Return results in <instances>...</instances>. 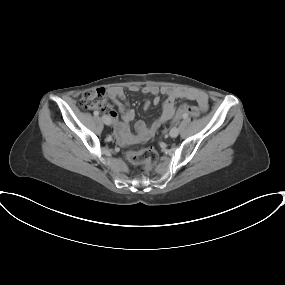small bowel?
<instances>
[{"instance_id":"1","label":"small bowel","mask_w":285,"mask_h":285,"mask_svg":"<svg viewBox=\"0 0 285 285\" xmlns=\"http://www.w3.org/2000/svg\"><path fill=\"white\" fill-rule=\"evenodd\" d=\"M138 89L139 88L137 86L130 87V91L132 92H137ZM142 92L154 96L152 101L154 105L159 104L160 93L164 94L166 99L163 103L160 116L150 125H147L144 121L136 122V134H133L131 132L130 124L135 118V112L133 109L129 108L124 90L121 87H111L108 89L109 98L115 104L119 113L121 114V119L119 120L117 112L113 110L109 112V115L114 122V133L119 142L122 144H135L140 141L149 140L151 137H153L159 127L173 117L177 98H186L188 100L195 101L201 111H206L208 108V98L206 94L202 92H182L169 87L159 88L155 85H147L143 87ZM149 107L150 102L146 101L144 103V108L148 109Z\"/></svg>"}]
</instances>
